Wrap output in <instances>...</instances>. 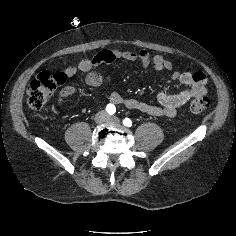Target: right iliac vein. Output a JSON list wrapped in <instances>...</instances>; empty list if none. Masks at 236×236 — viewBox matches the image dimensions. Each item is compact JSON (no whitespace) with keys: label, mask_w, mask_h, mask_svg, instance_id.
Segmentation results:
<instances>
[{"label":"right iliac vein","mask_w":236,"mask_h":236,"mask_svg":"<svg viewBox=\"0 0 236 236\" xmlns=\"http://www.w3.org/2000/svg\"><path fill=\"white\" fill-rule=\"evenodd\" d=\"M106 120V113L104 111H101L99 113L96 114L95 116V121L97 123H102Z\"/></svg>","instance_id":"63e3f726"}]
</instances>
